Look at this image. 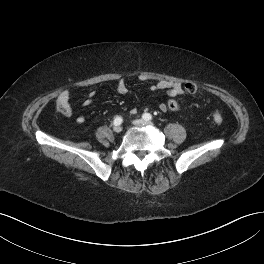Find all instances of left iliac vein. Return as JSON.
<instances>
[{
  "mask_svg": "<svg viewBox=\"0 0 264 264\" xmlns=\"http://www.w3.org/2000/svg\"><path fill=\"white\" fill-rule=\"evenodd\" d=\"M133 124L134 125H137V126H147V125H153L152 122H149V121H145L143 119H137V120H134L133 121Z\"/></svg>",
  "mask_w": 264,
  "mask_h": 264,
  "instance_id": "left-iliac-vein-1",
  "label": "left iliac vein"
}]
</instances>
